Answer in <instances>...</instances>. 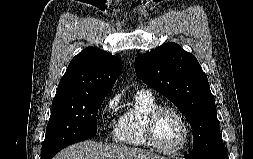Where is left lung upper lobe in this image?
<instances>
[{
	"label": "left lung upper lobe",
	"instance_id": "5c2ea615",
	"mask_svg": "<svg viewBox=\"0 0 253 159\" xmlns=\"http://www.w3.org/2000/svg\"><path fill=\"white\" fill-rule=\"evenodd\" d=\"M137 76L166 96L191 124L196 159H209L223 145L216 105L206 74L194 55L166 43L135 60Z\"/></svg>",
	"mask_w": 253,
	"mask_h": 159
}]
</instances>
